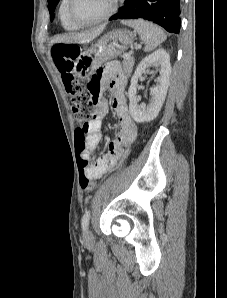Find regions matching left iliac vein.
Listing matches in <instances>:
<instances>
[{
	"mask_svg": "<svg viewBox=\"0 0 227 298\" xmlns=\"http://www.w3.org/2000/svg\"><path fill=\"white\" fill-rule=\"evenodd\" d=\"M83 237H84V241H85L86 243H92L93 240H94V236H93V234H92V232H91L90 230H86V231L84 232Z\"/></svg>",
	"mask_w": 227,
	"mask_h": 298,
	"instance_id": "4c4485c4",
	"label": "left iliac vein"
}]
</instances>
